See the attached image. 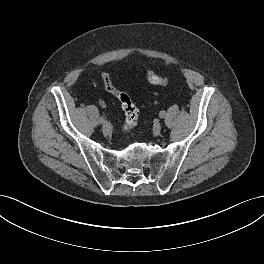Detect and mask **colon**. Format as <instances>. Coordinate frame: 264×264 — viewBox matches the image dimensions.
Here are the masks:
<instances>
[{"label": "colon", "instance_id": "colon-1", "mask_svg": "<svg viewBox=\"0 0 264 264\" xmlns=\"http://www.w3.org/2000/svg\"><path fill=\"white\" fill-rule=\"evenodd\" d=\"M103 84L108 92L113 94L120 102L121 107L125 114L124 129L126 131L131 130L138 121L139 110L136 105L131 100L130 96L118 89L113 83L111 76L107 72L101 74ZM147 80L154 85L167 86L169 84V79L166 77L159 76L151 69L146 70Z\"/></svg>", "mask_w": 264, "mask_h": 264}]
</instances>
